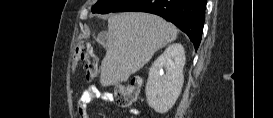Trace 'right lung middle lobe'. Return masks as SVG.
<instances>
[{"mask_svg": "<svg viewBox=\"0 0 273 118\" xmlns=\"http://www.w3.org/2000/svg\"><path fill=\"white\" fill-rule=\"evenodd\" d=\"M124 2H126V0H98V2L92 7V12L101 14L114 12Z\"/></svg>", "mask_w": 273, "mask_h": 118, "instance_id": "obj_1", "label": "right lung middle lobe"}]
</instances>
